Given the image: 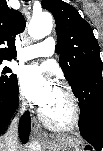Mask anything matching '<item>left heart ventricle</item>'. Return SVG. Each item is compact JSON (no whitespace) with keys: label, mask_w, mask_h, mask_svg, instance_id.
Masks as SVG:
<instances>
[{"label":"left heart ventricle","mask_w":103,"mask_h":151,"mask_svg":"<svg viewBox=\"0 0 103 151\" xmlns=\"http://www.w3.org/2000/svg\"><path fill=\"white\" fill-rule=\"evenodd\" d=\"M44 111L54 122H67L70 118V105L66 94L57 87L52 101Z\"/></svg>","instance_id":"left-heart-ventricle-1"}]
</instances>
